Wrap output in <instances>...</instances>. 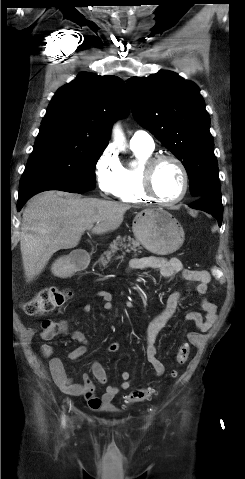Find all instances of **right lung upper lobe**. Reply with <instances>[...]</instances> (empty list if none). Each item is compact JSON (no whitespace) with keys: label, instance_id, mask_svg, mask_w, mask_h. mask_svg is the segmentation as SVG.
<instances>
[{"label":"right lung upper lobe","instance_id":"right-lung-upper-lobe-1","mask_svg":"<svg viewBox=\"0 0 245 479\" xmlns=\"http://www.w3.org/2000/svg\"><path fill=\"white\" fill-rule=\"evenodd\" d=\"M128 111L120 78L83 72L54 95L40 131H65L106 147L112 123Z\"/></svg>","mask_w":245,"mask_h":479}]
</instances>
